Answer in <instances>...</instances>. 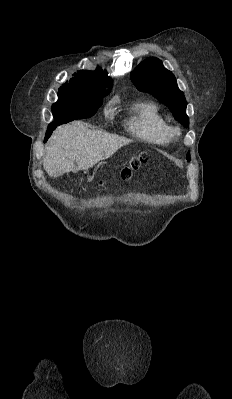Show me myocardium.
<instances>
[{
  "label": "myocardium",
  "mask_w": 232,
  "mask_h": 399,
  "mask_svg": "<svg viewBox=\"0 0 232 399\" xmlns=\"http://www.w3.org/2000/svg\"><path fill=\"white\" fill-rule=\"evenodd\" d=\"M171 134L176 136L179 134V129L177 127H170Z\"/></svg>",
  "instance_id": "f54148a6"
}]
</instances>
